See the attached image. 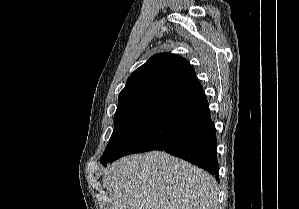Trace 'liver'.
I'll use <instances>...</instances> for the list:
<instances>
[{"instance_id": "1", "label": "liver", "mask_w": 299, "mask_h": 209, "mask_svg": "<svg viewBox=\"0 0 299 209\" xmlns=\"http://www.w3.org/2000/svg\"><path fill=\"white\" fill-rule=\"evenodd\" d=\"M102 182L113 201L109 209H218L215 178L165 152L121 158Z\"/></svg>"}]
</instances>
